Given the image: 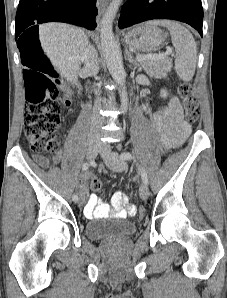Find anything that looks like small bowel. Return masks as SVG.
<instances>
[{
    "mask_svg": "<svg viewBox=\"0 0 227 298\" xmlns=\"http://www.w3.org/2000/svg\"><path fill=\"white\" fill-rule=\"evenodd\" d=\"M152 125L161 146L165 149L180 146L191 132L190 125L183 118L181 104L175 97H171L168 104L153 115ZM60 158V154H56L53 158V162L58 163ZM34 159L43 167L49 166L48 159L42 155L35 154ZM87 183L88 176H82L80 179L81 196H85L86 200L88 199L84 207L85 217L92 219L104 218L111 215L112 209L107 203L101 201L95 194L88 197ZM112 207L114 215L118 218H125L127 215H133L136 211L135 205H128L127 197L121 192H117L113 196Z\"/></svg>",
    "mask_w": 227,
    "mask_h": 298,
    "instance_id": "1",
    "label": "small bowel"
}]
</instances>
